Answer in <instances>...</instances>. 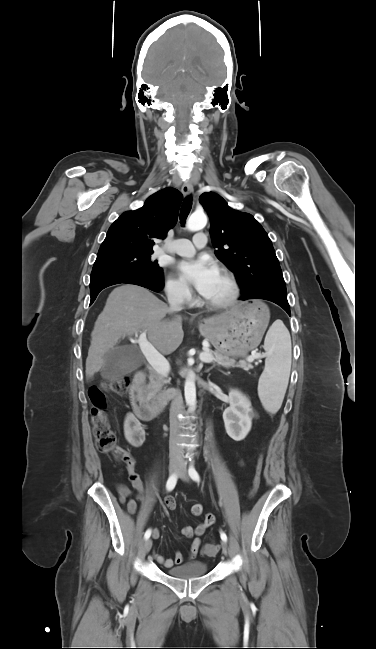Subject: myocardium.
Listing matches in <instances>:
<instances>
[{
  "label": "myocardium",
  "mask_w": 376,
  "mask_h": 649,
  "mask_svg": "<svg viewBox=\"0 0 376 649\" xmlns=\"http://www.w3.org/2000/svg\"><path fill=\"white\" fill-rule=\"evenodd\" d=\"M219 272L222 275H224V277L229 282L230 293L224 300L218 301V302H212V301L207 300L206 298H203V300H202L203 304L206 307H208L210 309H213V310H223V309H227V308L231 307L232 305H234L236 303V301L238 300L239 295H240L239 284H238L235 276L233 275V273L230 270H228L227 268H225V267H221L219 269Z\"/></svg>",
  "instance_id": "obj_1"
}]
</instances>
